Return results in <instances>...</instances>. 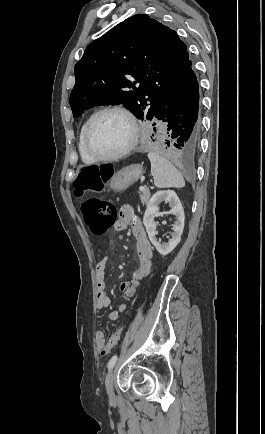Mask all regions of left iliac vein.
I'll list each match as a JSON object with an SVG mask.
<instances>
[{"mask_svg":"<svg viewBox=\"0 0 265 434\" xmlns=\"http://www.w3.org/2000/svg\"><path fill=\"white\" fill-rule=\"evenodd\" d=\"M115 373H116L115 370L110 371L108 373V375L106 376V380H105L106 392H107V395L111 401L115 400V393H114V388H113V381H114Z\"/></svg>","mask_w":265,"mask_h":434,"instance_id":"1","label":"left iliac vein"}]
</instances>
